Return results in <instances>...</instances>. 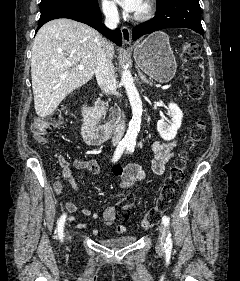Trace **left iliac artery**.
Here are the masks:
<instances>
[{"label":"left iliac artery","instance_id":"1","mask_svg":"<svg viewBox=\"0 0 240 281\" xmlns=\"http://www.w3.org/2000/svg\"><path fill=\"white\" fill-rule=\"evenodd\" d=\"M134 148H135V143H129L128 146H127V150L129 153H132L134 151ZM162 221L164 223V225L166 227H169V218L167 216H164L162 218ZM164 248L167 250V251H171V248H172V239H171V234L169 233L167 238H166V243L164 245Z\"/></svg>","mask_w":240,"mask_h":281}]
</instances>
